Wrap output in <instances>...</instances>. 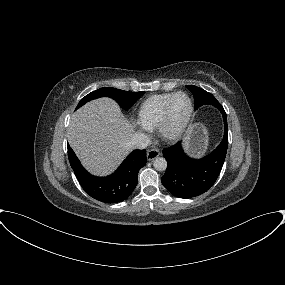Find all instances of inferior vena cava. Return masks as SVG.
<instances>
[{
	"label": "inferior vena cava",
	"mask_w": 285,
	"mask_h": 285,
	"mask_svg": "<svg viewBox=\"0 0 285 285\" xmlns=\"http://www.w3.org/2000/svg\"><path fill=\"white\" fill-rule=\"evenodd\" d=\"M149 145H150L149 138L141 132L133 134V136L129 141V147L131 149H144Z\"/></svg>",
	"instance_id": "obj_1"
}]
</instances>
